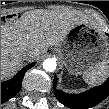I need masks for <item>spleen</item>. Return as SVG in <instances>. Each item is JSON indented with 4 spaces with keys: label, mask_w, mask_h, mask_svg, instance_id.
Returning a JSON list of instances; mask_svg holds the SVG:
<instances>
[{
    "label": "spleen",
    "mask_w": 109,
    "mask_h": 109,
    "mask_svg": "<svg viewBox=\"0 0 109 109\" xmlns=\"http://www.w3.org/2000/svg\"><path fill=\"white\" fill-rule=\"evenodd\" d=\"M109 62L100 64L96 69L83 74V79L88 85H98L104 82L109 75Z\"/></svg>",
    "instance_id": "3e777b00"
}]
</instances>
